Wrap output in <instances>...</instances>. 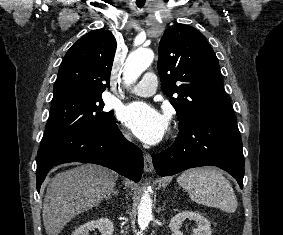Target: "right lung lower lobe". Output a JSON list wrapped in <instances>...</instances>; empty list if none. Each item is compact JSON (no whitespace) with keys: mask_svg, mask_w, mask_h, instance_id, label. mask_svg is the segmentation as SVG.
Masks as SVG:
<instances>
[{"mask_svg":"<svg viewBox=\"0 0 283 235\" xmlns=\"http://www.w3.org/2000/svg\"><path fill=\"white\" fill-rule=\"evenodd\" d=\"M68 162L99 164L135 182L143 173L142 151L123 137L116 121L95 132L73 135L41 147L37 154V190L53 166Z\"/></svg>","mask_w":283,"mask_h":235,"instance_id":"right-lung-lower-lobe-1","label":"right lung lower lobe"}]
</instances>
